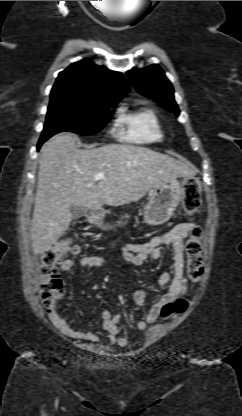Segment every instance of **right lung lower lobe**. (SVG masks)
<instances>
[{
    "label": "right lung lower lobe",
    "instance_id": "obj_1",
    "mask_svg": "<svg viewBox=\"0 0 242 416\" xmlns=\"http://www.w3.org/2000/svg\"><path fill=\"white\" fill-rule=\"evenodd\" d=\"M44 142H45V141L39 140V143H38V146H37L38 150L40 149V146H41Z\"/></svg>",
    "mask_w": 242,
    "mask_h": 416
}]
</instances>
